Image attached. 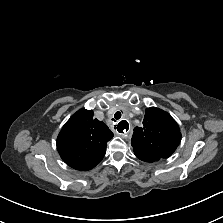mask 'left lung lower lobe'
Instances as JSON below:
<instances>
[{
  "label": "left lung lower lobe",
  "instance_id": "obj_1",
  "mask_svg": "<svg viewBox=\"0 0 223 223\" xmlns=\"http://www.w3.org/2000/svg\"><path fill=\"white\" fill-rule=\"evenodd\" d=\"M135 155H136L137 158H139L140 160L145 161V162H154V161L159 160L155 157L145 156V155H141V154H138V153H135Z\"/></svg>",
  "mask_w": 223,
  "mask_h": 223
}]
</instances>
